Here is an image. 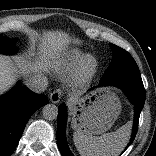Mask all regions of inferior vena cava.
Returning <instances> with one entry per match:
<instances>
[{"instance_id": "602c4592", "label": "inferior vena cava", "mask_w": 156, "mask_h": 156, "mask_svg": "<svg viewBox=\"0 0 156 156\" xmlns=\"http://www.w3.org/2000/svg\"><path fill=\"white\" fill-rule=\"evenodd\" d=\"M26 86L36 93H43L48 86L47 78L41 75H35L26 81Z\"/></svg>"}]
</instances>
